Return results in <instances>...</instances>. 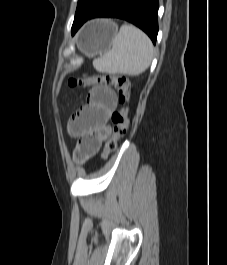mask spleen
<instances>
[{
	"instance_id": "1",
	"label": "spleen",
	"mask_w": 227,
	"mask_h": 265,
	"mask_svg": "<svg viewBox=\"0 0 227 265\" xmlns=\"http://www.w3.org/2000/svg\"><path fill=\"white\" fill-rule=\"evenodd\" d=\"M154 47L149 37L133 25L124 24L112 40V48L93 60L101 73L136 76L143 73L153 59Z\"/></svg>"
}]
</instances>
